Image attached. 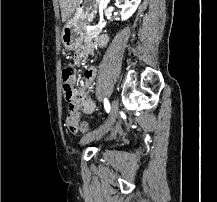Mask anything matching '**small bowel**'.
Returning <instances> with one entry per match:
<instances>
[{"mask_svg":"<svg viewBox=\"0 0 217 202\" xmlns=\"http://www.w3.org/2000/svg\"><path fill=\"white\" fill-rule=\"evenodd\" d=\"M107 37L106 36H101L98 40L97 43H93V42H88L85 44V46H83L80 51L78 52L77 56L75 57V64L76 65H80L82 59L88 54V53H93L94 49L96 46H101L103 47L106 43H107ZM97 74L96 69L94 68H89L85 71L84 74V80H85V84L89 85L90 83L93 82V80L95 79ZM83 109L84 112L86 113H93L96 109L95 107V101H92L91 99H88L87 101H85V106L81 107ZM71 111V112H70ZM67 116H76V121H73L76 125H77V129L73 132L76 133L77 131H80V126H87V124L85 122H81L80 121V112L78 109H74V110H69L68 108V113ZM67 120V118H66ZM81 132H86V131H81Z\"/></svg>","mask_w":217,"mask_h":202,"instance_id":"c3829d8e","label":"small bowel"}]
</instances>
